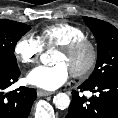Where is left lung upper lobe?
I'll return each instance as SVG.
<instances>
[{"label":"left lung upper lobe","instance_id":"obj_1","mask_svg":"<svg viewBox=\"0 0 118 118\" xmlns=\"http://www.w3.org/2000/svg\"><path fill=\"white\" fill-rule=\"evenodd\" d=\"M83 19L93 32L98 46L95 70L85 83L96 84L118 77V30L99 19L91 17H83Z\"/></svg>","mask_w":118,"mask_h":118}]
</instances>
